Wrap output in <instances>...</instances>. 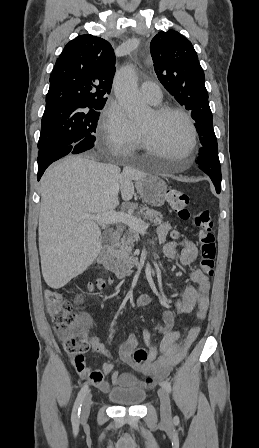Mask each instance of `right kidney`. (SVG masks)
Instances as JSON below:
<instances>
[{
    "instance_id": "right-kidney-1",
    "label": "right kidney",
    "mask_w": 259,
    "mask_h": 448,
    "mask_svg": "<svg viewBox=\"0 0 259 448\" xmlns=\"http://www.w3.org/2000/svg\"><path fill=\"white\" fill-rule=\"evenodd\" d=\"M76 304H80V302H83L82 298H80V296H78V298H76L75 300Z\"/></svg>"
}]
</instances>
